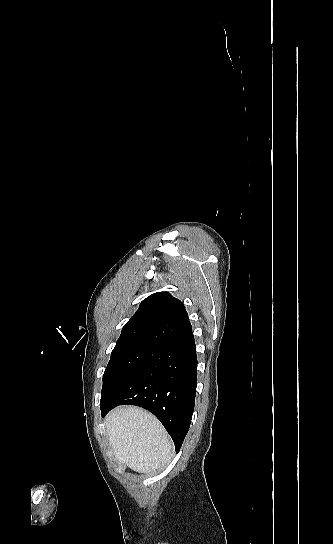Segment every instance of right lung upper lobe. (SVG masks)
<instances>
[{"label": "right lung upper lobe", "instance_id": "cb5924a9", "mask_svg": "<svg viewBox=\"0 0 333 544\" xmlns=\"http://www.w3.org/2000/svg\"><path fill=\"white\" fill-rule=\"evenodd\" d=\"M192 330L183 303L168 292L144 299L125 324L114 349L154 346Z\"/></svg>", "mask_w": 333, "mask_h": 544}]
</instances>
